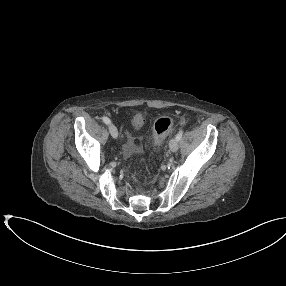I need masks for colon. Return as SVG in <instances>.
<instances>
[{
    "label": "colon",
    "instance_id": "1",
    "mask_svg": "<svg viewBox=\"0 0 286 286\" xmlns=\"http://www.w3.org/2000/svg\"><path fill=\"white\" fill-rule=\"evenodd\" d=\"M174 121L169 116H163L156 120L153 127V140L155 146L159 147L167 137L168 133L172 129ZM138 144L135 140H130L124 148V153L130 156L135 153Z\"/></svg>",
    "mask_w": 286,
    "mask_h": 286
}]
</instances>
